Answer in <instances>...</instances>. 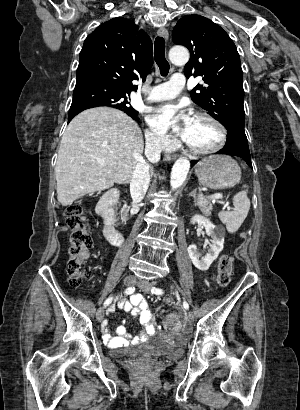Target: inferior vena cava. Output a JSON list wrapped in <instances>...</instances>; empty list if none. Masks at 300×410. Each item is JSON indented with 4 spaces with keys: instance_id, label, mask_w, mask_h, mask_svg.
Segmentation results:
<instances>
[{
    "instance_id": "602c4592",
    "label": "inferior vena cava",
    "mask_w": 300,
    "mask_h": 410,
    "mask_svg": "<svg viewBox=\"0 0 300 410\" xmlns=\"http://www.w3.org/2000/svg\"><path fill=\"white\" fill-rule=\"evenodd\" d=\"M163 145V138L155 135L146 139L145 154L147 158L156 163L160 160V152ZM149 164L145 160H139L137 163L131 182L130 194L132 197V206L138 208V204L143 200L150 183Z\"/></svg>"
}]
</instances>
